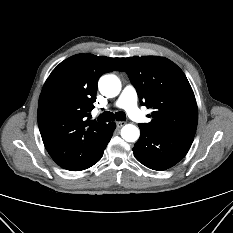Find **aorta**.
<instances>
[{
	"mask_svg": "<svg viewBox=\"0 0 233 233\" xmlns=\"http://www.w3.org/2000/svg\"><path fill=\"white\" fill-rule=\"evenodd\" d=\"M98 86L101 94L109 98L117 96L121 90L119 78L112 74L102 76ZM121 136L127 142H135L140 136V131L135 125L127 124L121 129Z\"/></svg>",
	"mask_w": 233,
	"mask_h": 233,
	"instance_id": "1",
	"label": "aorta"
}]
</instances>
